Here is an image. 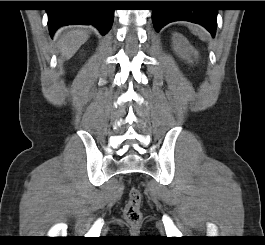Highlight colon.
<instances>
[{"instance_id": "obj_1", "label": "colon", "mask_w": 265, "mask_h": 245, "mask_svg": "<svg viewBox=\"0 0 265 245\" xmlns=\"http://www.w3.org/2000/svg\"><path fill=\"white\" fill-rule=\"evenodd\" d=\"M124 218L131 225H138L142 220L141 193L137 188H131L129 199L124 207Z\"/></svg>"}]
</instances>
